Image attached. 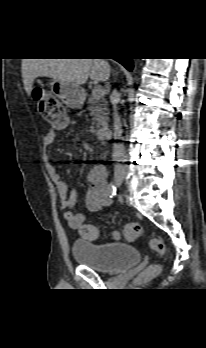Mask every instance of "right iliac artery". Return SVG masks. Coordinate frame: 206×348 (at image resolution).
I'll return each mask as SVG.
<instances>
[{"label": "right iliac artery", "instance_id": "1", "mask_svg": "<svg viewBox=\"0 0 206 348\" xmlns=\"http://www.w3.org/2000/svg\"><path fill=\"white\" fill-rule=\"evenodd\" d=\"M116 186L111 182L109 185H108V188H107V193L110 197H113L116 195Z\"/></svg>", "mask_w": 206, "mask_h": 348}]
</instances>
